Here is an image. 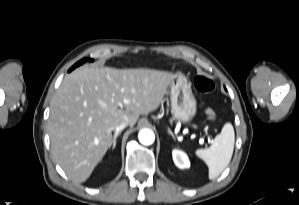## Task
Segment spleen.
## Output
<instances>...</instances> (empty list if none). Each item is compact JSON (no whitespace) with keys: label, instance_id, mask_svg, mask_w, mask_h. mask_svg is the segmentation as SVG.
Instances as JSON below:
<instances>
[{"label":"spleen","instance_id":"3e777b00","mask_svg":"<svg viewBox=\"0 0 299 205\" xmlns=\"http://www.w3.org/2000/svg\"><path fill=\"white\" fill-rule=\"evenodd\" d=\"M235 143L234 128L226 123L221 133L213 140L207 149H199L195 154L202 159L209 168V179L217 178L231 161Z\"/></svg>","mask_w":299,"mask_h":205}]
</instances>
